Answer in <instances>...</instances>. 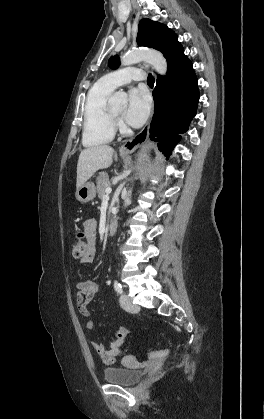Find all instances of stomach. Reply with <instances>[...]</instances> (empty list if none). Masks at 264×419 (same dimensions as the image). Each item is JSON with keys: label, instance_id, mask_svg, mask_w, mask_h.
Returning <instances> with one entry per match:
<instances>
[{"label": "stomach", "instance_id": "1", "mask_svg": "<svg viewBox=\"0 0 264 419\" xmlns=\"http://www.w3.org/2000/svg\"><path fill=\"white\" fill-rule=\"evenodd\" d=\"M125 157V155H121ZM96 196V188L93 182H86L76 190L75 197L82 203L93 200Z\"/></svg>", "mask_w": 264, "mask_h": 419}]
</instances>
